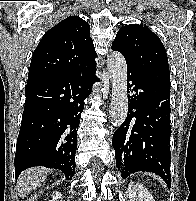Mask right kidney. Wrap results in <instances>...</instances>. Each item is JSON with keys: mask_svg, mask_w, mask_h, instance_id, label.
Instances as JSON below:
<instances>
[{"mask_svg": "<svg viewBox=\"0 0 196 201\" xmlns=\"http://www.w3.org/2000/svg\"><path fill=\"white\" fill-rule=\"evenodd\" d=\"M60 198H62V194L60 192H53L52 199L50 201H58Z\"/></svg>", "mask_w": 196, "mask_h": 201, "instance_id": "ca27d5eb", "label": "right kidney"}]
</instances>
